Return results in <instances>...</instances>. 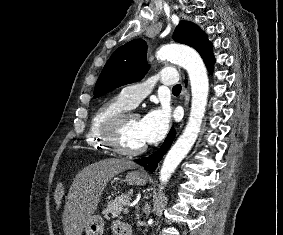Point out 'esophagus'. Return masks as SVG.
<instances>
[{"instance_id": "1", "label": "esophagus", "mask_w": 283, "mask_h": 235, "mask_svg": "<svg viewBox=\"0 0 283 235\" xmlns=\"http://www.w3.org/2000/svg\"><path fill=\"white\" fill-rule=\"evenodd\" d=\"M183 97H184L185 110L187 111L188 110V103H189V92H188L187 89L184 90ZM180 127H182V125Z\"/></svg>"}]
</instances>
